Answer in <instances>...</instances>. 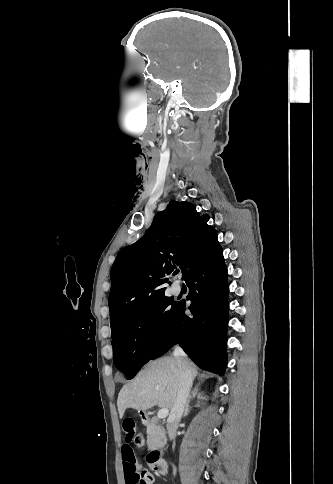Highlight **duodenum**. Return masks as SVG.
<instances>
[{"label":"duodenum","mask_w":333,"mask_h":484,"mask_svg":"<svg viewBox=\"0 0 333 484\" xmlns=\"http://www.w3.org/2000/svg\"><path fill=\"white\" fill-rule=\"evenodd\" d=\"M149 460L152 465V469L154 472L164 475L167 472V465L165 460L161 456V451L159 449H154L150 451Z\"/></svg>","instance_id":"obj_1"}]
</instances>
